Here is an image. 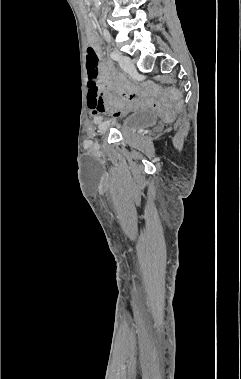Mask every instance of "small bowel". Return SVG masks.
<instances>
[{"label": "small bowel", "mask_w": 241, "mask_h": 379, "mask_svg": "<svg viewBox=\"0 0 241 379\" xmlns=\"http://www.w3.org/2000/svg\"><path fill=\"white\" fill-rule=\"evenodd\" d=\"M90 40L92 42V47L94 49L97 48V43L94 36L90 37ZM100 85L99 83H88L87 88V94L85 97V104L87 110H91V114L95 116V118H99V115H106L108 104H115V103H106V101L102 100L103 92L105 93L109 87H113L115 90L118 89L121 92L123 90L119 88L115 82V76L113 73L110 72V70L105 66L101 65L100 67ZM101 87V89H99ZM125 98H135L134 92H129L125 95ZM123 108L126 110H129L126 105H123ZM123 112L122 110H111L110 112V120L111 121H118L119 117H122Z\"/></svg>", "instance_id": "small-bowel-1"}]
</instances>
